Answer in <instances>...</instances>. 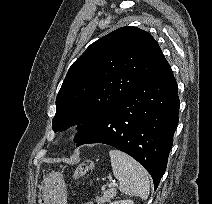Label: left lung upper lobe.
<instances>
[{
  "mask_svg": "<svg viewBox=\"0 0 212 204\" xmlns=\"http://www.w3.org/2000/svg\"><path fill=\"white\" fill-rule=\"evenodd\" d=\"M165 60L154 38L121 27L91 44L71 65L56 99L55 132L77 125L80 142L100 118Z\"/></svg>",
  "mask_w": 212,
  "mask_h": 204,
  "instance_id": "obj_1",
  "label": "left lung upper lobe"
}]
</instances>
